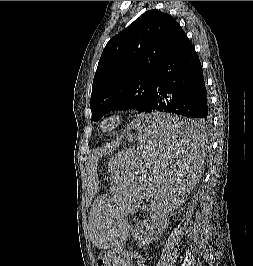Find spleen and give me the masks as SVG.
Masks as SVG:
<instances>
[{"label":"spleen","mask_w":253,"mask_h":266,"mask_svg":"<svg viewBox=\"0 0 253 266\" xmlns=\"http://www.w3.org/2000/svg\"><path fill=\"white\" fill-rule=\"evenodd\" d=\"M174 111H151L132 117L136 141L132 153H115L111 161L114 207H94L89 218L93 246L129 248L136 210L162 216L188 203L189 188L199 178L204 155V123Z\"/></svg>","instance_id":"1"}]
</instances>
